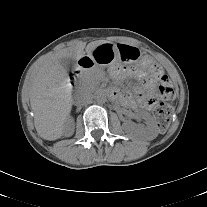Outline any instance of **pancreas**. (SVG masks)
I'll return each mask as SVG.
<instances>
[{
  "label": "pancreas",
  "instance_id": "obj_1",
  "mask_svg": "<svg viewBox=\"0 0 207 207\" xmlns=\"http://www.w3.org/2000/svg\"><path fill=\"white\" fill-rule=\"evenodd\" d=\"M103 73L98 69L85 72L81 78V85L85 89L94 90L98 86V82L101 80Z\"/></svg>",
  "mask_w": 207,
  "mask_h": 207
}]
</instances>
